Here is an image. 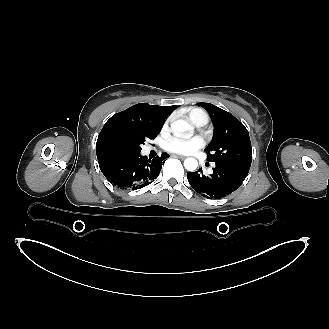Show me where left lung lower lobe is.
Wrapping results in <instances>:
<instances>
[{
	"mask_svg": "<svg viewBox=\"0 0 329 329\" xmlns=\"http://www.w3.org/2000/svg\"><path fill=\"white\" fill-rule=\"evenodd\" d=\"M246 176L247 174L237 169L221 164H216L209 176H205L202 169L187 173L191 187L198 194L210 199H219L231 194L241 186Z\"/></svg>",
	"mask_w": 329,
	"mask_h": 329,
	"instance_id": "left-lung-lower-lobe-1",
	"label": "left lung lower lobe"
}]
</instances>
